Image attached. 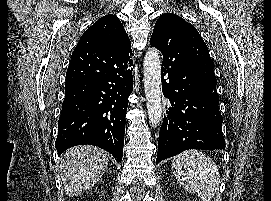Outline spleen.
Masks as SVG:
<instances>
[{
	"mask_svg": "<svg viewBox=\"0 0 271 201\" xmlns=\"http://www.w3.org/2000/svg\"><path fill=\"white\" fill-rule=\"evenodd\" d=\"M171 169L183 186L202 201H211L220 185L217 165L205 153L186 150L173 158Z\"/></svg>",
	"mask_w": 271,
	"mask_h": 201,
	"instance_id": "1",
	"label": "spleen"
}]
</instances>
